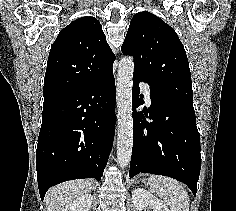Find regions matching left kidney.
I'll list each match as a JSON object with an SVG mask.
<instances>
[{"mask_svg":"<svg viewBox=\"0 0 236 211\" xmlns=\"http://www.w3.org/2000/svg\"><path fill=\"white\" fill-rule=\"evenodd\" d=\"M132 200L137 211H142L147 206H150L153 211H169L162 200L143 188H135L133 190Z\"/></svg>","mask_w":236,"mask_h":211,"instance_id":"1","label":"left kidney"}]
</instances>
